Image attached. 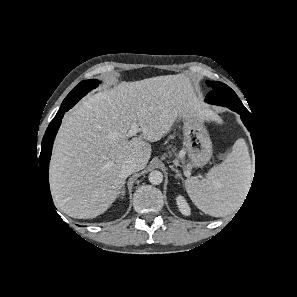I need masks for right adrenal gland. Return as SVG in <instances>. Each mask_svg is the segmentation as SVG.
I'll return each instance as SVG.
<instances>
[{
    "mask_svg": "<svg viewBox=\"0 0 297 297\" xmlns=\"http://www.w3.org/2000/svg\"><path fill=\"white\" fill-rule=\"evenodd\" d=\"M125 196V182L123 183L122 189L119 192V197L123 198Z\"/></svg>",
    "mask_w": 297,
    "mask_h": 297,
    "instance_id": "obj_1",
    "label": "right adrenal gland"
}]
</instances>
